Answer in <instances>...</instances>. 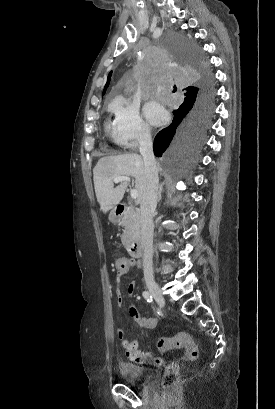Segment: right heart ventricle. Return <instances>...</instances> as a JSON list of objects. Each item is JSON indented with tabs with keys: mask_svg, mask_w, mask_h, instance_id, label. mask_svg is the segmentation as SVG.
I'll return each mask as SVG.
<instances>
[{
	"mask_svg": "<svg viewBox=\"0 0 275 409\" xmlns=\"http://www.w3.org/2000/svg\"><path fill=\"white\" fill-rule=\"evenodd\" d=\"M105 130L115 143H120V139L114 123L112 124L110 122H107L105 125Z\"/></svg>",
	"mask_w": 275,
	"mask_h": 409,
	"instance_id": "1",
	"label": "right heart ventricle"
}]
</instances>
